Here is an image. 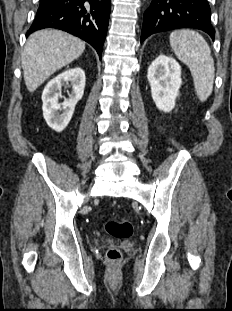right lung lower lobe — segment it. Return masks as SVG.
<instances>
[{
    "instance_id": "right-lung-lower-lobe-1",
    "label": "right lung lower lobe",
    "mask_w": 232,
    "mask_h": 311,
    "mask_svg": "<svg viewBox=\"0 0 232 311\" xmlns=\"http://www.w3.org/2000/svg\"><path fill=\"white\" fill-rule=\"evenodd\" d=\"M111 0H41L26 36L44 28H57L92 45L100 58L109 22Z\"/></svg>"
}]
</instances>
